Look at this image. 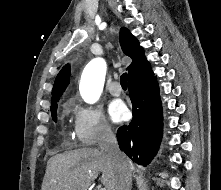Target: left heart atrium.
I'll return each mask as SVG.
<instances>
[{
	"label": "left heart atrium",
	"instance_id": "obj_1",
	"mask_svg": "<svg viewBox=\"0 0 221 190\" xmlns=\"http://www.w3.org/2000/svg\"><path fill=\"white\" fill-rule=\"evenodd\" d=\"M111 120L115 123L122 122L128 118L129 112L126 105L121 100H113L108 107Z\"/></svg>",
	"mask_w": 221,
	"mask_h": 190
}]
</instances>
